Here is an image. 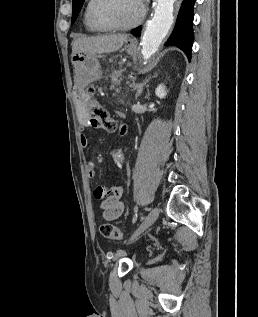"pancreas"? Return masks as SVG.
Returning a JSON list of instances; mask_svg holds the SVG:
<instances>
[{"mask_svg": "<svg viewBox=\"0 0 258 317\" xmlns=\"http://www.w3.org/2000/svg\"><path fill=\"white\" fill-rule=\"evenodd\" d=\"M112 84V89L115 90L116 93H121L122 92V84L119 83L120 79L118 77H113L111 79Z\"/></svg>", "mask_w": 258, "mask_h": 317, "instance_id": "cf45deb5", "label": "pancreas"}]
</instances>
